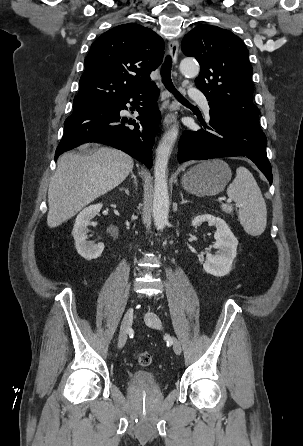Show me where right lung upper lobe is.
Segmentation results:
<instances>
[{"label": "right lung upper lobe", "mask_w": 303, "mask_h": 446, "mask_svg": "<svg viewBox=\"0 0 303 446\" xmlns=\"http://www.w3.org/2000/svg\"><path fill=\"white\" fill-rule=\"evenodd\" d=\"M164 43L154 31L135 23L114 27L92 44L75 98L89 106L108 104L155 87L149 74L158 68Z\"/></svg>", "instance_id": "1"}]
</instances>
